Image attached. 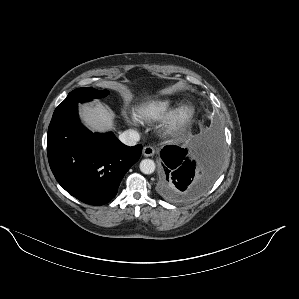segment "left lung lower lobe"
Returning <instances> with one entry per match:
<instances>
[{
  "label": "left lung lower lobe",
  "mask_w": 299,
  "mask_h": 299,
  "mask_svg": "<svg viewBox=\"0 0 299 299\" xmlns=\"http://www.w3.org/2000/svg\"><path fill=\"white\" fill-rule=\"evenodd\" d=\"M157 191L167 201L182 203L199 197L217 178L222 152L219 139H199L189 146H166Z\"/></svg>",
  "instance_id": "0a47b994"
}]
</instances>
